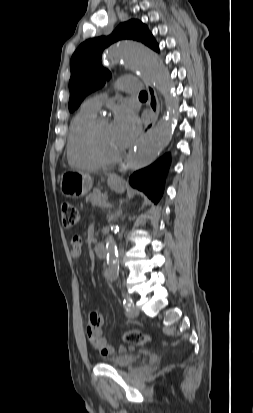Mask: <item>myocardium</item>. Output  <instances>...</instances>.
I'll return each instance as SVG.
<instances>
[{
	"instance_id": "myocardium-1",
	"label": "myocardium",
	"mask_w": 253,
	"mask_h": 413,
	"mask_svg": "<svg viewBox=\"0 0 253 413\" xmlns=\"http://www.w3.org/2000/svg\"><path fill=\"white\" fill-rule=\"evenodd\" d=\"M109 123L105 117H97L88 127L86 134L87 147L92 157L101 165H109L118 162L122 158V150L113 155H107L101 151L97 142V132L103 124Z\"/></svg>"
}]
</instances>
